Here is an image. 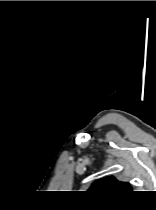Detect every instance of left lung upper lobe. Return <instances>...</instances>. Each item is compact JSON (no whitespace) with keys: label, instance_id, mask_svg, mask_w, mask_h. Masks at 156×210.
Returning a JSON list of instances; mask_svg holds the SVG:
<instances>
[{"label":"left lung upper lobe","instance_id":"left-lung-upper-lobe-1","mask_svg":"<svg viewBox=\"0 0 156 210\" xmlns=\"http://www.w3.org/2000/svg\"><path fill=\"white\" fill-rule=\"evenodd\" d=\"M90 190L93 192L125 194L130 193L132 188L127 182H120L114 177H107L96 181Z\"/></svg>","mask_w":156,"mask_h":210}]
</instances>
